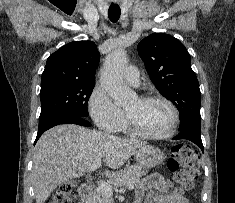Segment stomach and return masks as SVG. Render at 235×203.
<instances>
[{
    "label": "stomach",
    "instance_id": "1",
    "mask_svg": "<svg viewBox=\"0 0 235 203\" xmlns=\"http://www.w3.org/2000/svg\"><path fill=\"white\" fill-rule=\"evenodd\" d=\"M136 160L141 167L152 168L164 160V153L154 146L145 145L135 152Z\"/></svg>",
    "mask_w": 235,
    "mask_h": 203
}]
</instances>
